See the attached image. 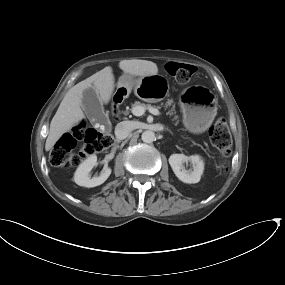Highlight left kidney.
I'll return each mask as SVG.
<instances>
[{"instance_id": "left-kidney-1", "label": "left kidney", "mask_w": 285, "mask_h": 285, "mask_svg": "<svg viewBox=\"0 0 285 285\" xmlns=\"http://www.w3.org/2000/svg\"><path fill=\"white\" fill-rule=\"evenodd\" d=\"M190 162L193 169L187 170L185 163ZM169 164L179 180L184 183H198L204 170V162L199 155L186 156L184 154H172Z\"/></svg>"}]
</instances>
